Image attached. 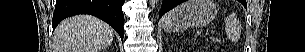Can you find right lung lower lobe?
I'll return each mask as SVG.
<instances>
[{
	"label": "right lung lower lobe",
	"mask_w": 305,
	"mask_h": 52,
	"mask_svg": "<svg viewBox=\"0 0 305 52\" xmlns=\"http://www.w3.org/2000/svg\"><path fill=\"white\" fill-rule=\"evenodd\" d=\"M125 0H57L53 14V29L64 19L77 14L96 16L113 27L123 40Z\"/></svg>",
	"instance_id": "right-lung-lower-lobe-1"
}]
</instances>
